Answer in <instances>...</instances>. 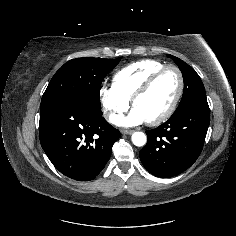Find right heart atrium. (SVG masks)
Listing matches in <instances>:
<instances>
[{
	"mask_svg": "<svg viewBox=\"0 0 236 236\" xmlns=\"http://www.w3.org/2000/svg\"><path fill=\"white\" fill-rule=\"evenodd\" d=\"M99 100L104 115L111 122H115L119 115L128 110L130 105V100L123 96L113 85L100 88Z\"/></svg>",
	"mask_w": 236,
	"mask_h": 236,
	"instance_id": "right-heart-atrium-1",
	"label": "right heart atrium"
}]
</instances>
